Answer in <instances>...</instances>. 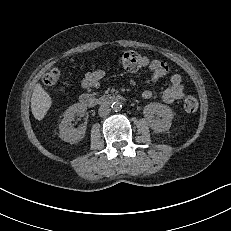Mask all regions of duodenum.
Here are the masks:
<instances>
[{"label":"duodenum","mask_w":231,"mask_h":231,"mask_svg":"<svg viewBox=\"0 0 231 231\" xmlns=\"http://www.w3.org/2000/svg\"><path fill=\"white\" fill-rule=\"evenodd\" d=\"M80 103L85 107H95L109 105L113 102L123 101L124 97L117 94H107L101 97H96L91 94L84 93L80 96Z\"/></svg>","instance_id":"410a0bca"}]
</instances>
